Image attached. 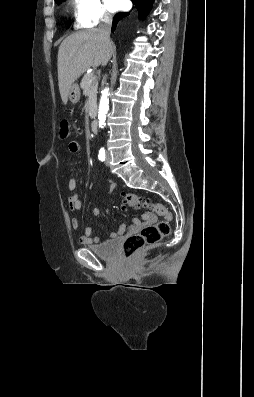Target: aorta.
<instances>
[{
    "label": "aorta",
    "mask_w": 254,
    "mask_h": 397,
    "mask_svg": "<svg viewBox=\"0 0 254 397\" xmlns=\"http://www.w3.org/2000/svg\"><path fill=\"white\" fill-rule=\"evenodd\" d=\"M109 88H104L102 91V96L99 104V112H98V120H99V128H103L105 126L106 114L109 110Z\"/></svg>",
    "instance_id": "762f6f07"
}]
</instances>
